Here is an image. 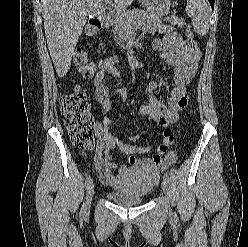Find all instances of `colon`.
Returning a JSON list of instances; mask_svg holds the SVG:
<instances>
[{"mask_svg":"<svg viewBox=\"0 0 248 247\" xmlns=\"http://www.w3.org/2000/svg\"><path fill=\"white\" fill-rule=\"evenodd\" d=\"M101 26L96 19H91L85 26V35L95 37L99 34ZM188 39L193 38V32L186 30ZM74 66L79 74L85 78L95 76L97 67L89 62L87 53L83 49L75 51ZM63 121L69 133L72 144L80 149H89L94 143V118L90 110L87 93L81 88H75L71 93L60 98Z\"/></svg>","mask_w":248,"mask_h":247,"instance_id":"obj_1","label":"colon"}]
</instances>
